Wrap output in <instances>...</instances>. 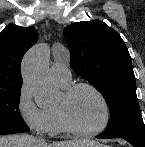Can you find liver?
I'll return each instance as SVG.
<instances>
[{"mask_svg": "<svg viewBox=\"0 0 145 147\" xmlns=\"http://www.w3.org/2000/svg\"><path fill=\"white\" fill-rule=\"evenodd\" d=\"M0 147H102L91 140H74L48 144L29 135H8L0 137Z\"/></svg>", "mask_w": 145, "mask_h": 147, "instance_id": "obj_1", "label": "liver"}]
</instances>
